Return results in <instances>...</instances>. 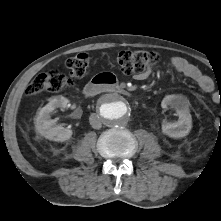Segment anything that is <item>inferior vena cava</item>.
I'll use <instances>...</instances> for the list:
<instances>
[{
    "label": "inferior vena cava",
    "instance_id": "obj_1",
    "mask_svg": "<svg viewBox=\"0 0 221 221\" xmlns=\"http://www.w3.org/2000/svg\"><path fill=\"white\" fill-rule=\"evenodd\" d=\"M89 122L94 129H100L102 127L101 118L96 113L90 115Z\"/></svg>",
    "mask_w": 221,
    "mask_h": 221
}]
</instances>
